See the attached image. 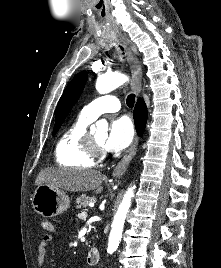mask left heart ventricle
<instances>
[{
  "mask_svg": "<svg viewBox=\"0 0 221 268\" xmlns=\"http://www.w3.org/2000/svg\"><path fill=\"white\" fill-rule=\"evenodd\" d=\"M93 139L95 140V142L97 144H99L100 146H103L104 141H105V135L101 134V133H97V134H92Z\"/></svg>",
  "mask_w": 221,
  "mask_h": 268,
  "instance_id": "obj_1",
  "label": "left heart ventricle"
}]
</instances>
